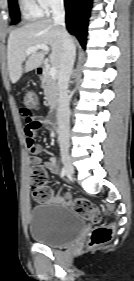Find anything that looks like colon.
Instances as JSON below:
<instances>
[{
	"label": "colon",
	"instance_id": "5ec220e1",
	"mask_svg": "<svg viewBox=\"0 0 134 281\" xmlns=\"http://www.w3.org/2000/svg\"><path fill=\"white\" fill-rule=\"evenodd\" d=\"M38 104V97L34 92L26 93L24 105L28 108H35ZM30 187L33 190L34 198L39 203L58 201L72 207L82 217L92 220L94 223L101 222V215L95 206L87 199L83 198H56L48 186L47 173L40 167H33L29 178ZM114 225L112 223L98 225L90 234L89 245L91 247L100 246L109 242L113 236Z\"/></svg>",
	"mask_w": 134,
	"mask_h": 281
}]
</instances>
